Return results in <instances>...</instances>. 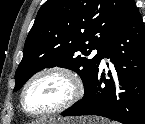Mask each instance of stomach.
<instances>
[{"label": "stomach", "mask_w": 145, "mask_h": 124, "mask_svg": "<svg viewBox=\"0 0 145 124\" xmlns=\"http://www.w3.org/2000/svg\"><path fill=\"white\" fill-rule=\"evenodd\" d=\"M43 124H107L103 120L94 117L84 118H59L49 120Z\"/></svg>", "instance_id": "obj_1"}]
</instances>
